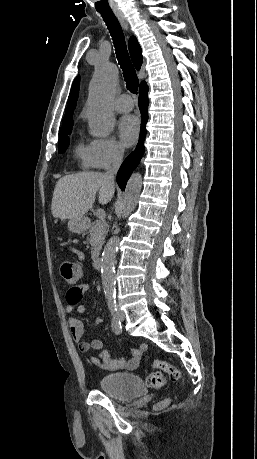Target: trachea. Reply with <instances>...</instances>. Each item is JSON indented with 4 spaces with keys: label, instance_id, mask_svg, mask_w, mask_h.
I'll return each instance as SVG.
<instances>
[{
    "label": "trachea",
    "instance_id": "3493384b",
    "mask_svg": "<svg viewBox=\"0 0 257 459\" xmlns=\"http://www.w3.org/2000/svg\"><path fill=\"white\" fill-rule=\"evenodd\" d=\"M99 13L101 14L112 36L117 59L123 71V76L126 82L127 89L131 93H137L139 80L135 68L130 60L125 42V37L122 28L119 24V21L117 20L112 11H99Z\"/></svg>",
    "mask_w": 257,
    "mask_h": 459
}]
</instances>
